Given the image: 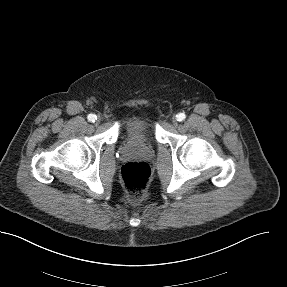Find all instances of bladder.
Listing matches in <instances>:
<instances>
[{
    "label": "bladder",
    "instance_id": "bladder-1",
    "mask_svg": "<svg viewBox=\"0 0 287 287\" xmlns=\"http://www.w3.org/2000/svg\"><path fill=\"white\" fill-rule=\"evenodd\" d=\"M127 128L131 133L146 135L151 133L150 122L141 116H136L130 119L127 124Z\"/></svg>",
    "mask_w": 287,
    "mask_h": 287
}]
</instances>
